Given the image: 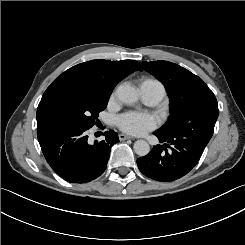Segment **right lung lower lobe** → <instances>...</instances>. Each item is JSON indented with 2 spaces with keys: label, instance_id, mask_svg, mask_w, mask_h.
<instances>
[{
  "label": "right lung lower lobe",
  "instance_id": "obj_1",
  "mask_svg": "<svg viewBox=\"0 0 245 245\" xmlns=\"http://www.w3.org/2000/svg\"><path fill=\"white\" fill-rule=\"evenodd\" d=\"M87 128L54 126L38 129L46 161L56 174L70 183L90 182L104 172L111 147L119 141L116 132H104L105 140L88 144Z\"/></svg>",
  "mask_w": 245,
  "mask_h": 245
}]
</instances>
